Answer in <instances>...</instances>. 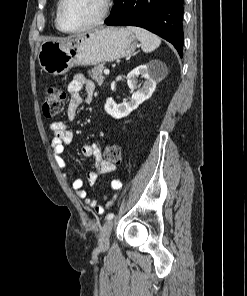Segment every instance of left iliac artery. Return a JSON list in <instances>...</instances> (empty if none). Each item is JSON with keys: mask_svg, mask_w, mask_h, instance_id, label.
Listing matches in <instances>:
<instances>
[{"mask_svg": "<svg viewBox=\"0 0 247 296\" xmlns=\"http://www.w3.org/2000/svg\"><path fill=\"white\" fill-rule=\"evenodd\" d=\"M114 218V214L113 213H109L107 216H106V219L107 220H111Z\"/></svg>", "mask_w": 247, "mask_h": 296, "instance_id": "1", "label": "left iliac artery"}]
</instances>
